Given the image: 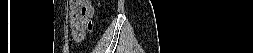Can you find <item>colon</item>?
Instances as JSON below:
<instances>
[{
    "mask_svg": "<svg viewBox=\"0 0 253 53\" xmlns=\"http://www.w3.org/2000/svg\"><path fill=\"white\" fill-rule=\"evenodd\" d=\"M88 2L89 1H72V6L70 8V23L76 30L90 31L92 29V10L88 5Z\"/></svg>",
    "mask_w": 253,
    "mask_h": 53,
    "instance_id": "1",
    "label": "colon"
}]
</instances>
